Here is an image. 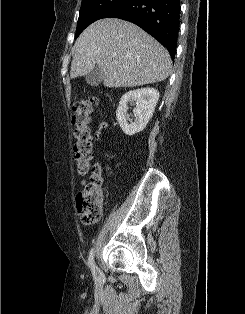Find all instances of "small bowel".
<instances>
[{"label":"small bowel","mask_w":245,"mask_h":314,"mask_svg":"<svg viewBox=\"0 0 245 314\" xmlns=\"http://www.w3.org/2000/svg\"><path fill=\"white\" fill-rule=\"evenodd\" d=\"M106 127H107V125H106L105 123H101V124L99 125L98 131H97V133H96V139H97V141H100V139H101V133H102V131H103L104 129H106Z\"/></svg>","instance_id":"1"}]
</instances>
